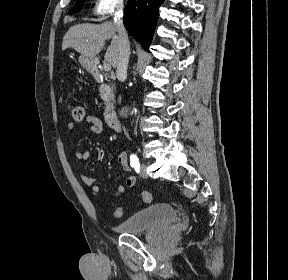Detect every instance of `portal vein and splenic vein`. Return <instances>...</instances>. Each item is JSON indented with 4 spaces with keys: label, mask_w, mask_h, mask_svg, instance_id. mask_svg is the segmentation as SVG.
<instances>
[{
    "label": "portal vein and splenic vein",
    "mask_w": 288,
    "mask_h": 280,
    "mask_svg": "<svg viewBox=\"0 0 288 280\" xmlns=\"http://www.w3.org/2000/svg\"><path fill=\"white\" fill-rule=\"evenodd\" d=\"M103 69H104V71H106V72L110 71V70H111V64H110L109 62L105 63V64L103 65Z\"/></svg>",
    "instance_id": "portal-vein-and-splenic-vein-1"
}]
</instances>
